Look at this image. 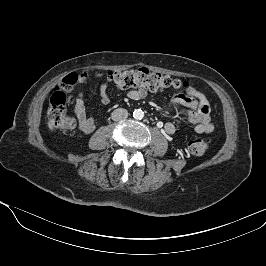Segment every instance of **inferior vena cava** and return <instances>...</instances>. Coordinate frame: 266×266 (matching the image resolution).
Masks as SVG:
<instances>
[{
  "label": "inferior vena cava",
  "instance_id": "1",
  "mask_svg": "<svg viewBox=\"0 0 266 266\" xmlns=\"http://www.w3.org/2000/svg\"><path fill=\"white\" fill-rule=\"evenodd\" d=\"M128 117V111L124 108L115 109L112 114L111 118L113 121H121Z\"/></svg>",
  "mask_w": 266,
  "mask_h": 266
}]
</instances>
